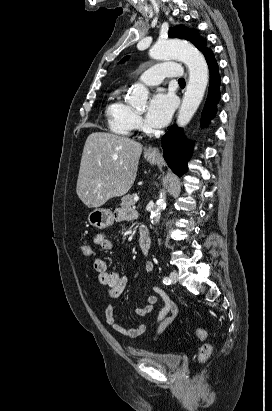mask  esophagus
<instances>
[{
	"instance_id": "34e87169",
	"label": "esophagus",
	"mask_w": 272,
	"mask_h": 411,
	"mask_svg": "<svg viewBox=\"0 0 272 411\" xmlns=\"http://www.w3.org/2000/svg\"><path fill=\"white\" fill-rule=\"evenodd\" d=\"M147 154L152 155V156H156L159 157L160 156V151L158 148H149L147 150Z\"/></svg>"
}]
</instances>
